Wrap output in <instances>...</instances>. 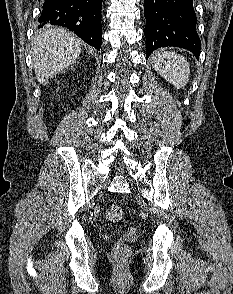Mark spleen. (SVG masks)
Returning <instances> with one entry per match:
<instances>
[{
  "instance_id": "spleen-1",
  "label": "spleen",
  "mask_w": 233,
  "mask_h": 294,
  "mask_svg": "<svg viewBox=\"0 0 233 294\" xmlns=\"http://www.w3.org/2000/svg\"><path fill=\"white\" fill-rule=\"evenodd\" d=\"M153 68L177 89L184 88L190 77L186 59L173 51L159 50L151 58Z\"/></svg>"
}]
</instances>
